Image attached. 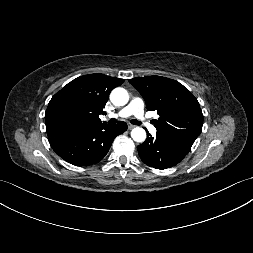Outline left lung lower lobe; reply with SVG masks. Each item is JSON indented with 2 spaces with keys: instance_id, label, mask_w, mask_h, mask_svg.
Segmentation results:
<instances>
[{
  "instance_id": "left-lung-lower-lobe-1",
  "label": "left lung lower lobe",
  "mask_w": 253,
  "mask_h": 253,
  "mask_svg": "<svg viewBox=\"0 0 253 253\" xmlns=\"http://www.w3.org/2000/svg\"><path fill=\"white\" fill-rule=\"evenodd\" d=\"M193 143L194 141L157 132L156 137L148 133L145 142L137 149L145 164L156 169H165L178 164L190 151Z\"/></svg>"
}]
</instances>
